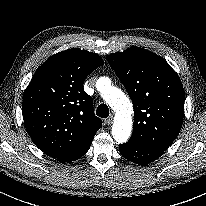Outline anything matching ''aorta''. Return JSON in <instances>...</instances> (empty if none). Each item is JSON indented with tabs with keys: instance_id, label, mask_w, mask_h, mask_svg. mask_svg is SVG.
<instances>
[{
	"instance_id": "762f6f07",
	"label": "aorta",
	"mask_w": 206,
	"mask_h": 206,
	"mask_svg": "<svg viewBox=\"0 0 206 206\" xmlns=\"http://www.w3.org/2000/svg\"><path fill=\"white\" fill-rule=\"evenodd\" d=\"M97 89L101 92L104 101L115 111L112 125V136L118 143L126 142L132 132V104L128 97L117 87L111 85L107 77L97 81Z\"/></svg>"
}]
</instances>
